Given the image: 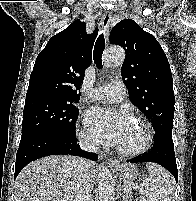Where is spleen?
Returning a JSON list of instances; mask_svg holds the SVG:
<instances>
[{"mask_svg": "<svg viewBox=\"0 0 196 201\" xmlns=\"http://www.w3.org/2000/svg\"><path fill=\"white\" fill-rule=\"evenodd\" d=\"M148 176L140 185L139 201H175L170 174L155 163H147Z\"/></svg>", "mask_w": 196, "mask_h": 201, "instance_id": "spleen-1", "label": "spleen"}]
</instances>
